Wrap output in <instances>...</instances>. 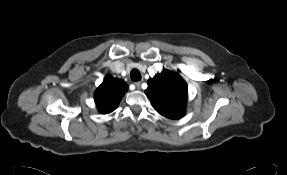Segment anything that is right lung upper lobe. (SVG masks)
<instances>
[{
  "mask_svg": "<svg viewBox=\"0 0 287 175\" xmlns=\"http://www.w3.org/2000/svg\"><path fill=\"white\" fill-rule=\"evenodd\" d=\"M127 90L128 86L123 80L107 75L94 94L99 112L108 114L115 110Z\"/></svg>",
  "mask_w": 287,
  "mask_h": 175,
  "instance_id": "obj_1",
  "label": "right lung upper lobe"
}]
</instances>
